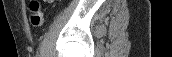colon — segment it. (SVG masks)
<instances>
[{
  "label": "colon",
  "mask_w": 172,
  "mask_h": 57,
  "mask_svg": "<svg viewBox=\"0 0 172 57\" xmlns=\"http://www.w3.org/2000/svg\"><path fill=\"white\" fill-rule=\"evenodd\" d=\"M29 19H30V23L34 27H39L43 24L44 14L40 2L37 0L31 1L30 9H29Z\"/></svg>",
  "instance_id": "1"
}]
</instances>
